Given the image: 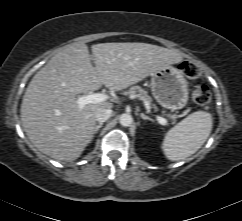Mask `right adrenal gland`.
I'll return each mask as SVG.
<instances>
[{"mask_svg":"<svg viewBox=\"0 0 242 221\" xmlns=\"http://www.w3.org/2000/svg\"><path fill=\"white\" fill-rule=\"evenodd\" d=\"M103 126V123H99L96 125L95 130H94V135L98 133L99 129Z\"/></svg>","mask_w":242,"mask_h":221,"instance_id":"1","label":"right adrenal gland"}]
</instances>
